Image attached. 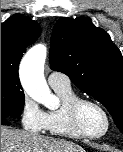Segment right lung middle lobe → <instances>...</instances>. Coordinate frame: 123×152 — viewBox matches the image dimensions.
<instances>
[{
	"label": "right lung middle lobe",
	"mask_w": 123,
	"mask_h": 152,
	"mask_svg": "<svg viewBox=\"0 0 123 152\" xmlns=\"http://www.w3.org/2000/svg\"><path fill=\"white\" fill-rule=\"evenodd\" d=\"M25 96L19 77L1 73V120H9L21 115Z\"/></svg>",
	"instance_id": "dd1d6c3e"
}]
</instances>
